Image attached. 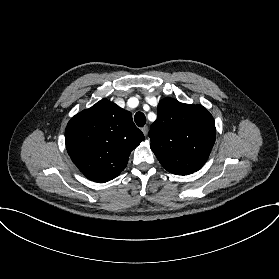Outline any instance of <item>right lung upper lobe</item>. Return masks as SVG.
<instances>
[{
    "mask_svg": "<svg viewBox=\"0 0 279 279\" xmlns=\"http://www.w3.org/2000/svg\"><path fill=\"white\" fill-rule=\"evenodd\" d=\"M144 138L131 113L107 99L75 115L65 132L67 152L74 164L84 176L99 183L117 177Z\"/></svg>",
    "mask_w": 279,
    "mask_h": 279,
    "instance_id": "right-lung-upper-lobe-1",
    "label": "right lung upper lobe"
}]
</instances>
